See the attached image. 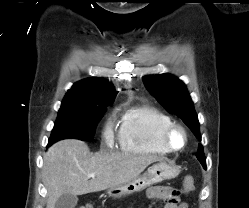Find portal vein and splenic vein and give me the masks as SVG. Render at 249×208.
I'll list each match as a JSON object with an SVG mask.
<instances>
[{
  "label": "portal vein and splenic vein",
  "mask_w": 249,
  "mask_h": 208,
  "mask_svg": "<svg viewBox=\"0 0 249 208\" xmlns=\"http://www.w3.org/2000/svg\"><path fill=\"white\" fill-rule=\"evenodd\" d=\"M88 177L89 178H95V174L94 173L88 174Z\"/></svg>",
  "instance_id": "1"
}]
</instances>
